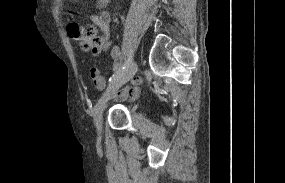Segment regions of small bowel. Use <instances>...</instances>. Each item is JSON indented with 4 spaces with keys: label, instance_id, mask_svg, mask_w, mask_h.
I'll list each match as a JSON object with an SVG mask.
<instances>
[{
    "label": "small bowel",
    "instance_id": "obj_1",
    "mask_svg": "<svg viewBox=\"0 0 285 183\" xmlns=\"http://www.w3.org/2000/svg\"><path fill=\"white\" fill-rule=\"evenodd\" d=\"M110 0H96L97 12L90 15L91 21L102 31V36L99 38V44L92 49V54L95 56L101 53L109 52L113 60V71L117 73L122 67V56L119 48L114 46L110 41V29H111V15L106 10ZM90 77L96 88L99 91L104 90L106 86V80L101 74L98 68H92L90 70ZM140 80L133 81V86L130 87L125 93H119L115 96V100H120L123 97H129L130 99H136L139 96L140 90L138 84Z\"/></svg>",
    "mask_w": 285,
    "mask_h": 183
}]
</instances>
